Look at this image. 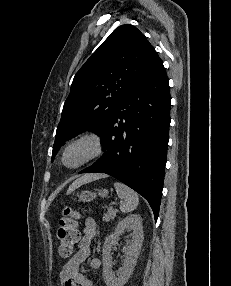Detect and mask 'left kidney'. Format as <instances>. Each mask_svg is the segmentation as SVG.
Wrapping results in <instances>:
<instances>
[{
  "mask_svg": "<svg viewBox=\"0 0 231 286\" xmlns=\"http://www.w3.org/2000/svg\"><path fill=\"white\" fill-rule=\"evenodd\" d=\"M124 230H132V240L126 249L123 266L115 273L112 271V247L117 243ZM143 243L142 219L138 214H131L122 219L114 233L106 237L103 256V278L107 286H123L133 273Z\"/></svg>",
  "mask_w": 231,
  "mask_h": 286,
  "instance_id": "1",
  "label": "left kidney"
}]
</instances>
